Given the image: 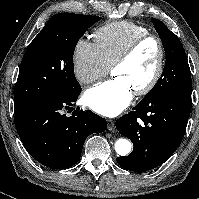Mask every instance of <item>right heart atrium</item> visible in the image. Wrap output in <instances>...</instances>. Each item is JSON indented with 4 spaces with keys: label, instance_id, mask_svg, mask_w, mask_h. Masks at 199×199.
Here are the masks:
<instances>
[{
    "label": "right heart atrium",
    "instance_id": "obj_1",
    "mask_svg": "<svg viewBox=\"0 0 199 199\" xmlns=\"http://www.w3.org/2000/svg\"><path fill=\"white\" fill-rule=\"evenodd\" d=\"M72 62L74 75L82 84L92 83L109 71L96 43L85 39L76 42Z\"/></svg>",
    "mask_w": 199,
    "mask_h": 199
}]
</instances>
